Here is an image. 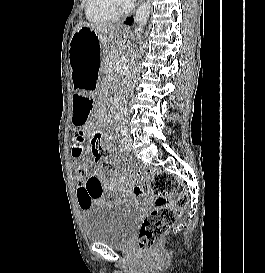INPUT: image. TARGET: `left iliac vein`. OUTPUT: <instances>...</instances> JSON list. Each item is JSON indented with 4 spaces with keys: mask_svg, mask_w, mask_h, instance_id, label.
<instances>
[{
    "mask_svg": "<svg viewBox=\"0 0 265 273\" xmlns=\"http://www.w3.org/2000/svg\"><path fill=\"white\" fill-rule=\"evenodd\" d=\"M122 145H123V148L126 150V151H131L132 149V139L130 136L128 135H125L123 138H122Z\"/></svg>",
    "mask_w": 265,
    "mask_h": 273,
    "instance_id": "4c4485c4",
    "label": "left iliac vein"
}]
</instances>
